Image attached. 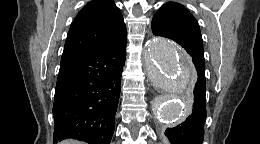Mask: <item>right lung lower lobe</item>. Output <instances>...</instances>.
<instances>
[{"instance_id":"obj_1","label":"right lung lower lobe","mask_w":260,"mask_h":144,"mask_svg":"<svg viewBox=\"0 0 260 144\" xmlns=\"http://www.w3.org/2000/svg\"><path fill=\"white\" fill-rule=\"evenodd\" d=\"M126 42L63 58L56 83L53 141L109 144L120 95Z\"/></svg>"}]
</instances>
